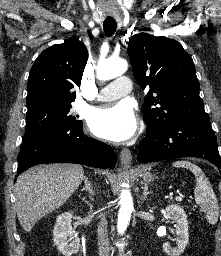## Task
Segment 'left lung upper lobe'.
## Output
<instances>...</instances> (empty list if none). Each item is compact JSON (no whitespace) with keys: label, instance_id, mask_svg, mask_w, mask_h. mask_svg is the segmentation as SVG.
Masks as SVG:
<instances>
[{"label":"left lung upper lobe","instance_id":"1","mask_svg":"<svg viewBox=\"0 0 221 256\" xmlns=\"http://www.w3.org/2000/svg\"><path fill=\"white\" fill-rule=\"evenodd\" d=\"M128 54L136 81L149 89L142 105L148 127L208 117L192 58L177 41L147 33L133 35Z\"/></svg>","mask_w":221,"mask_h":256}]
</instances>
